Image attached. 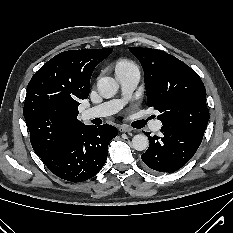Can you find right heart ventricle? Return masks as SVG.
<instances>
[{
  "mask_svg": "<svg viewBox=\"0 0 233 233\" xmlns=\"http://www.w3.org/2000/svg\"><path fill=\"white\" fill-rule=\"evenodd\" d=\"M133 66L135 65L128 60H120L115 65V71H119V70L126 69L128 67H133Z\"/></svg>",
  "mask_w": 233,
  "mask_h": 233,
  "instance_id": "e07e8e85",
  "label": "right heart ventricle"
}]
</instances>
